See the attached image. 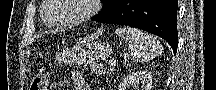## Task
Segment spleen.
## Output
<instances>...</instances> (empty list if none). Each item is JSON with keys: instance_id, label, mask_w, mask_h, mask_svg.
Masks as SVG:
<instances>
[{"instance_id": "spleen-1", "label": "spleen", "mask_w": 216, "mask_h": 90, "mask_svg": "<svg viewBox=\"0 0 216 90\" xmlns=\"http://www.w3.org/2000/svg\"><path fill=\"white\" fill-rule=\"evenodd\" d=\"M117 36L125 40L134 62H150L161 54V46L156 36L138 30V28H117Z\"/></svg>"}]
</instances>
